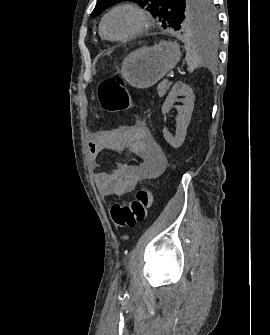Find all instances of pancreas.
I'll return each mask as SVG.
<instances>
[{
  "label": "pancreas",
  "instance_id": "cf45deb5",
  "mask_svg": "<svg viewBox=\"0 0 270 335\" xmlns=\"http://www.w3.org/2000/svg\"><path fill=\"white\" fill-rule=\"evenodd\" d=\"M169 86H171V82H168V80H163V82L158 84L157 90L159 98H162V96L166 94L167 90H169Z\"/></svg>",
  "mask_w": 270,
  "mask_h": 335
}]
</instances>
